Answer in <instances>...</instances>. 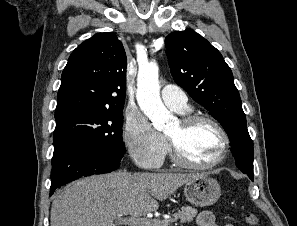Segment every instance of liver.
Returning <instances> with one entry per match:
<instances>
[{
  "label": "liver",
  "mask_w": 297,
  "mask_h": 226,
  "mask_svg": "<svg viewBox=\"0 0 297 226\" xmlns=\"http://www.w3.org/2000/svg\"><path fill=\"white\" fill-rule=\"evenodd\" d=\"M200 175L118 171L79 179L53 201L50 226H116L121 216L156 211L158 201Z\"/></svg>",
  "instance_id": "1"
}]
</instances>
